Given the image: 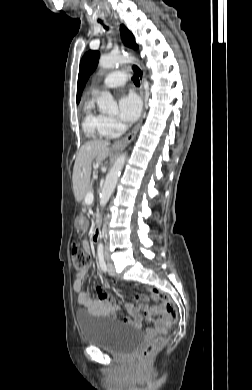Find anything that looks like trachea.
Masks as SVG:
<instances>
[{
    "label": "trachea",
    "mask_w": 252,
    "mask_h": 390,
    "mask_svg": "<svg viewBox=\"0 0 252 390\" xmlns=\"http://www.w3.org/2000/svg\"><path fill=\"white\" fill-rule=\"evenodd\" d=\"M98 21H99L100 23H102V21H100V20H98ZM104 28L107 29L106 26H104ZM132 80H133V82H134V84H135L136 86H140V80H139L138 76L134 75L133 78H132Z\"/></svg>",
    "instance_id": "3493384b"
}]
</instances>
